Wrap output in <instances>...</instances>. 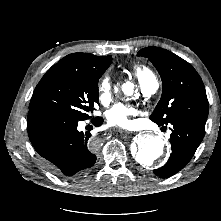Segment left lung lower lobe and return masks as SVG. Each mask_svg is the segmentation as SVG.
Segmentation results:
<instances>
[{
  "label": "left lung lower lobe",
  "instance_id": "left-lung-lower-lobe-1",
  "mask_svg": "<svg viewBox=\"0 0 221 221\" xmlns=\"http://www.w3.org/2000/svg\"><path fill=\"white\" fill-rule=\"evenodd\" d=\"M169 126L172 131L170 135L172 153L164 166L153 171L161 178L170 177L184 168L205 134V127L187 120H175Z\"/></svg>",
  "mask_w": 221,
  "mask_h": 221
}]
</instances>
